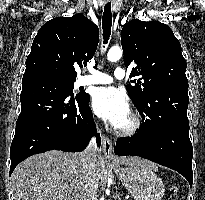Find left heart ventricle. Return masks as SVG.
<instances>
[{"label":"left heart ventricle","mask_w":205,"mask_h":200,"mask_svg":"<svg viewBox=\"0 0 205 200\" xmlns=\"http://www.w3.org/2000/svg\"><path fill=\"white\" fill-rule=\"evenodd\" d=\"M130 124V116L125 120V122L120 126V128H125Z\"/></svg>","instance_id":"b2bd125f"}]
</instances>
